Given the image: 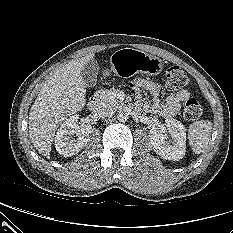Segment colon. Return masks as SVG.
I'll return each instance as SVG.
<instances>
[{"label":"colon","instance_id":"5ec220e1","mask_svg":"<svg viewBox=\"0 0 233 233\" xmlns=\"http://www.w3.org/2000/svg\"><path fill=\"white\" fill-rule=\"evenodd\" d=\"M164 82L167 88L178 90L186 87L190 79L187 74L178 66L169 67L164 75ZM202 114V106L195 98H188L183 106V117L188 121L199 119Z\"/></svg>","mask_w":233,"mask_h":233}]
</instances>
